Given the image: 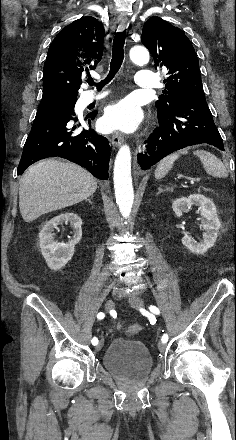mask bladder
Here are the masks:
<instances>
[{
  "instance_id": "1",
  "label": "bladder",
  "mask_w": 236,
  "mask_h": 440,
  "mask_svg": "<svg viewBox=\"0 0 236 440\" xmlns=\"http://www.w3.org/2000/svg\"><path fill=\"white\" fill-rule=\"evenodd\" d=\"M103 363L111 374L125 377L131 373H147L153 361L149 349L143 342L117 337L108 345Z\"/></svg>"
}]
</instances>
